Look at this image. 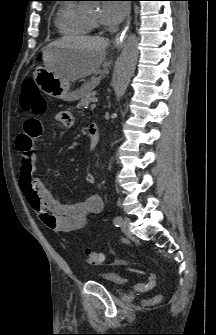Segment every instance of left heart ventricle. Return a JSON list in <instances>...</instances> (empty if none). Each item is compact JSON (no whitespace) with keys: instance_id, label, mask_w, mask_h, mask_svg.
<instances>
[{"instance_id":"obj_1","label":"left heart ventricle","mask_w":216,"mask_h":335,"mask_svg":"<svg viewBox=\"0 0 216 335\" xmlns=\"http://www.w3.org/2000/svg\"><path fill=\"white\" fill-rule=\"evenodd\" d=\"M98 16H99L98 12L90 14V18H92V19H97Z\"/></svg>"}]
</instances>
